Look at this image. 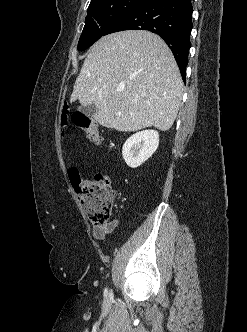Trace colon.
I'll list each match as a JSON object with an SVG mask.
<instances>
[{"instance_id":"colon-1","label":"colon","mask_w":247,"mask_h":332,"mask_svg":"<svg viewBox=\"0 0 247 332\" xmlns=\"http://www.w3.org/2000/svg\"><path fill=\"white\" fill-rule=\"evenodd\" d=\"M62 113L61 122L65 126L69 119L67 106ZM70 119L90 141L101 142L98 124L92 118L83 113H73ZM70 178L89 219L95 225L106 224L112 215L114 197L109 178L103 174L81 177L77 172H72Z\"/></svg>"}]
</instances>
